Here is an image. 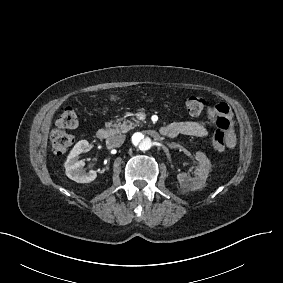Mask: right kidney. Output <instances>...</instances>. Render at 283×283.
<instances>
[{
	"mask_svg": "<svg viewBox=\"0 0 283 283\" xmlns=\"http://www.w3.org/2000/svg\"><path fill=\"white\" fill-rule=\"evenodd\" d=\"M89 146V142L85 139L78 141L69 152L67 159L64 163L66 175L78 182L88 183L95 180L97 174L94 170L84 171V162L78 160V156L86 151Z\"/></svg>",
	"mask_w": 283,
	"mask_h": 283,
	"instance_id": "ca27d5eb",
	"label": "right kidney"
}]
</instances>
